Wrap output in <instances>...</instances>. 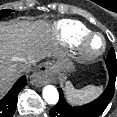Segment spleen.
I'll list each match as a JSON object with an SVG mask.
<instances>
[{
  "label": "spleen",
  "mask_w": 117,
  "mask_h": 117,
  "mask_svg": "<svg viewBox=\"0 0 117 117\" xmlns=\"http://www.w3.org/2000/svg\"><path fill=\"white\" fill-rule=\"evenodd\" d=\"M102 91V86L97 87L88 85L82 89H75L73 85L67 81L65 85V92L67 100L72 104L81 105L90 102L97 98Z\"/></svg>",
  "instance_id": "1"
}]
</instances>
